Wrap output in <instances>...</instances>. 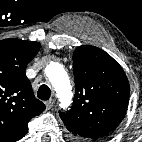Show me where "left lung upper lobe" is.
<instances>
[{
    "mask_svg": "<svg viewBox=\"0 0 142 142\" xmlns=\"http://www.w3.org/2000/svg\"><path fill=\"white\" fill-rule=\"evenodd\" d=\"M75 95L71 109L59 112L69 135L77 141L110 136L122 121L129 84L121 66L105 51L90 45L73 54Z\"/></svg>",
    "mask_w": 142,
    "mask_h": 142,
    "instance_id": "left-lung-upper-lobe-1",
    "label": "left lung upper lobe"
}]
</instances>
